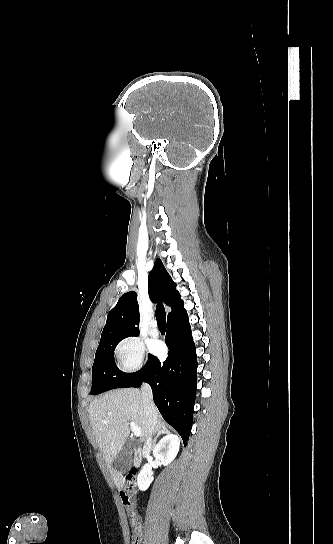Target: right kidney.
Segmentation results:
<instances>
[{
    "label": "right kidney",
    "mask_w": 333,
    "mask_h": 544,
    "mask_svg": "<svg viewBox=\"0 0 333 544\" xmlns=\"http://www.w3.org/2000/svg\"><path fill=\"white\" fill-rule=\"evenodd\" d=\"M180 447V440L177 435L167 433L153 449V456L164 466L169 465L176 457ZM151 465L146 464L140 471L137 484L140 490L145 491L153 481Z\"/></svg>",
    "instance_id": "obj_1"
}]
</instances>
